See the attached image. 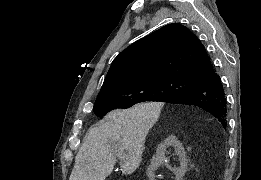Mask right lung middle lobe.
<instances>
[{
  "mask_svg": "<svg viewBox=\"0 0 261 180\" xmlns=\"http://www.w3.org/2000/svg\"><path fill=\"white\" fill-rule=\"evenodd\" d=\"M196 85V82L175 79L127 86L98 96L93 111L102 117L111 110L129 108L140 102H166L172 97L193 90Z\"/></svg>",
  "mask_w": 261,
  "mask_h": 180,
  "instance_id": "dd1d6c3e",
  "label": "right lung middle lobe"
}]
</instances>
